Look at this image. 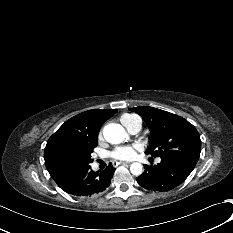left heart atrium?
Here are the masks:
<instances>
[{"mask_svg":"<svg viewBox=\"0 0 233 233\" xmlns=\"http://www.w3.org/2000/svg\"><path fill=\"white\" fill-rule=\"evenodd\" d=\"M137 151L135 146H121L111 152V157L119 161H130L136 157Z\"/></svg>","mask_w":233,"mask_h":233,"instance_id":"1","label":"left heart atrium"}]
</instances>
